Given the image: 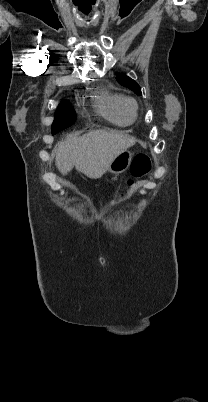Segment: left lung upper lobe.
<instances>
[{
  "label": "left lung upper lobe",
  "instance_id": "1",
  "mask_svg": "<svg viewBox=\"0 0 208 402\" xmlns=\"http://www.w3.org/2000/svg\"><path fill=\"white\" fill-rule=\"evenodd\" d=\"M116 79L121 85L129 88L130 90L134 91L138 95L142 94L141 89H140L139 85L137 84V82L134 81L133 79L129 78L128 76L120 74L116 77Z\"/></svg>",
  "mask_w": 208,
  "mask_h": 402
}]
</instances>
